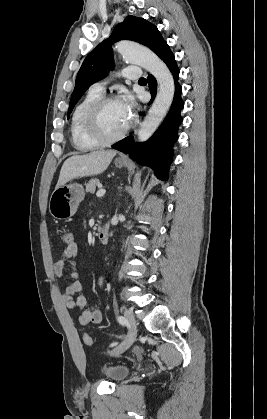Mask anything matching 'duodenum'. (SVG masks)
Returning <instances> with one entry per match:
<instances>
[{
	"label": "duodenum",
	"instance_id": "obj_1",
	"mask_svg": "<svg viewBox=\"0 0 267 419\" xmlns=\"http://www.w3.org/2000/svg\"><path fill=\"white\" fill-rule=\"evenodd\" d=\"M97 238L99 240L100 243L102 244H106L109 240V225H103L98 233H97Z\"/></svg>",
	"mask_w": 267,
	"mask_h": 419
}]
</instances>
